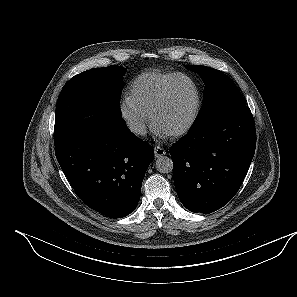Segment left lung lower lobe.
<instances>
[{"label": "left lung lower lobe", "mask_w": 297, "mask_h": 297, "mask_svg": "<svg viewBox=\"0 0 297 297\" xmlns=\"http://www.w3.org/2000/svg\"><path fill=\"white\" fill-rule=\"evenodd\" d=\"M255 147V123L246 105L192 127L170 148L181 203L204 214L227 204L248 172Z\"/></svg>", "instance_id": "0a47b994"}]
</instances>
